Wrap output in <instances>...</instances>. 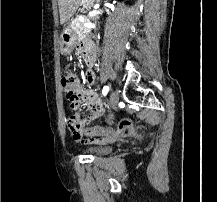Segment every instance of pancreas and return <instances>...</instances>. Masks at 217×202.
<instances>
[{
  "instance_id": "obj_1",
  "label": "pancreas",
  "mask_w": 217,
  "mask_h": 202,
  "mask_svg": "<svg viewBox=\"0 0 217 202\" xmlns=\"http://www.w3.org/2000/svg\"><path fill=\"white\" fill-rule=\"evenodd\" d=\"M84 20L85 22H88V18H85V16ZM69 28H71V30H74V32L78 34V40L80 41L84 38V36H86V34H88V28H85V26H83L82 22H80L78 18L74 20L73 24H70Z\"/></svg>"
}]
</instances>
